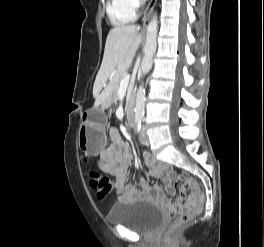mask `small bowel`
<instances>
[{"instance_id": "obj_1", "label": "small bowel", "mask_w": 264, "mask_h": 247, "mask_svg": "<svg viewBox=\"0 0 264 247\" xmlns=\"http://www.w3.org/2000/svg\"><path fill=\"white\" fill-rule=\"evenodd\" d=\"M111 144L101 152L99 167L102 171L114 176V188L121 201H128L137 197H147L158 202L165 200L163 191L158 187H152L145 179L140 180L142 191L134 186L126 184L129 167L131 163V153L129 148L121 141L116 129L109 132ZM146 164L150 167L153 176L162 180L164 191L169 196L174 195L170 185L174 175L173 169L166 163L155 160L147 153L143 154Z\"/></svg>"}]
</instances>
